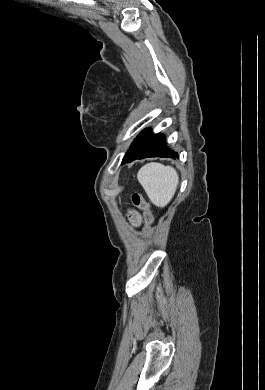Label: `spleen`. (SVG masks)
Segmentation results:
<instances>
[{
  "mask_svg": "<svg viewBox=\"0 0 265 390\" xmlns=\"http://www.w3.org/2000/svg\"><path fill=\"white\" fill-rule=\"evenodd\" d=\"M137 179L151 202L161 208L171 201L179 183V176L173 167L157 162L144 165L138 171Z\"/></svg>",
  "mask_w": 265,
  "mask_h": 390,
  "instance_id": "3e777b00",
  "label": "spleen"
}]
</instances>
